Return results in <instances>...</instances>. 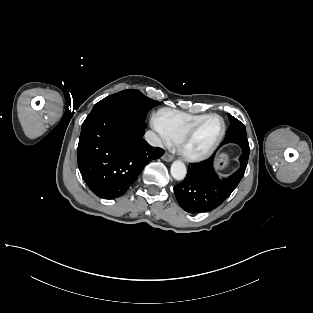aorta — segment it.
<instances>
[{"instance_id": "aorta-1", "label": "aorta", "mask_w": 313, "mask_h": 313, "mask_svg": "<svg viewBox=\"0 0 313 313\" xmlns=\"http://www.w3.org/2000/svg\"><path fill=\"white\" fill-rule=\"evenodd\" d=\"M187 174L186 166L183 162L177 160L171 165V175L175 180H183Z\"/></svg>"}]
</instances>
